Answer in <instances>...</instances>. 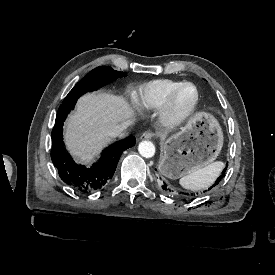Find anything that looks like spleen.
<instances>
[{"label": "spleen", "mask_w": 275, "mask_h": 275, "mask_svg": "<svg viewBox=\"0 0 275 275\" xmlns=\"http://www.w3.org/2000/svg\"><path fill=\"white\" fill-rule=\"evenodd\" d=\"M224 168V162L216 161L197 171L183 176L179 180V183L183 188L191 191L207 189L214 184Z\"/></svg>", "instance_id": "3e777b00"}]
</instances>
